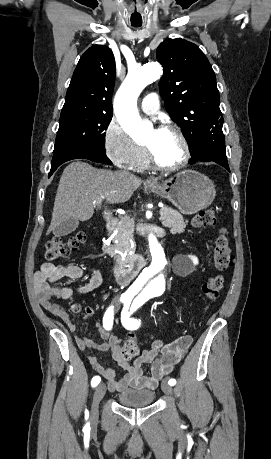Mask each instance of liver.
<instances>
[{"label": "liver", "mask_w": 271, "mask_h": 459, "mask_svg": "<svg viewBox=\"0 0 271 459\" xmlns=\"http://www.w3.org/2000/svg\"><path fill=\"white\" fill-rule=\"evenodd\" d=\"M142 182L130 172L97 170L85 162H72L60 178L46 235L66 220H90L95 204L100 208L102 200L128 202Z\"/></svg>", "instance_id": "obj_1"}]
</instances>
